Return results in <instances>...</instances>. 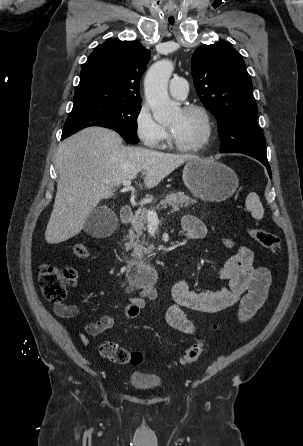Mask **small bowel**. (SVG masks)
Listing matches in <instances>:
<instances>
[{
    "mask_svg": "<svg viewBox=\"0 0 303 446\" xmlns=\"http://www.w3.org/2000/svg\"><path fill=\"white\" fill-rule=\"evenodd\" d=\"M182 232L191 240H201L207 235V228L197 217L186 215L182 218ZM227 247H232L231 240H224ZM218 277L225 281L227 286L214 291H198L191 288L185 279H179L172 286L174 303L166 311L168 324L174 329L189 335L196 333L193 321L187 316V311L202 313H217L232 306L238 307V316L241 322L250 319L264 304L269 286L271 273L268 268L254 264L253 252L245 246L239 247L236 252L218 266ZM134 290L136 295L131 296ZM126 293L127 303L124 314L129 319L137 318L146 306V302L156 301L158 291L151 285L128 287ZM55 311L62 318H74L80 310L77 305L56 304ZM114 326V318L109 315L101 316L97 321L86 325L89 335H99ZM78 338L84 345L88 340L85 335Z\"/></svg>",
    "mask_w": 303,
    "mask_h": 446,
    "instance_id": "c3829d8e",
    "label": "small bowel"
}]
</instances>
